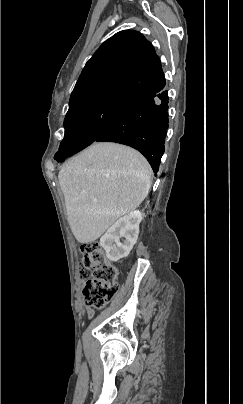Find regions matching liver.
Masks as SVG:
<instances>
[{
  "instance_id": "obj_1",
  "label": "liver",
  "mask_w": 243,
  "mask_h": 404,
  "mask_svg": "<svg viewBox=\"0 0 243 404\" xmlns=\"http://www.w3.org/2000/svg\"><path fill=\"white\" fill-rule=\"evenodd\" d=\"M151 174L137 150L112 142L92 144L68 160L58 180L77 242H95L118 218L136 210L148 196Z\"/></svg>"
}]
</instances>
